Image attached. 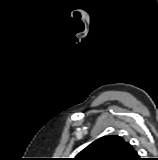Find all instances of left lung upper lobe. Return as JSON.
<instances>
[{
  "mask_svg": "<svg viewBox=\"0 0 158 160\" xmlns=\"http://www.w3.org/2000/svg\"><path fill=\"white\" fill-rule=\"evenodd\" d=\"M134 148L120 136L101 137L85 149L74 160H132Z\"/></svg>",
  "mask_w": 158,
  "mask_h": 160,
  "instance_id": "5c2ea615",
  "label": "left lung upper lobe"
}]
</instances>
